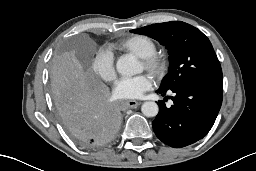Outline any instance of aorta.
Instances as JSON below:
<instances>
[{
	"label": "aorta",
	"mask_w": 256,
	"mask_h": 171,
	"mask_svg": "<svg viewBox=\"0 0 256 171\" xmlns=\"http://www.w3.org/2000/svg\"><path fill=\"white\" fill-rule=\"evenodd\" d=\"M118 73L124 76H132L141 72V66L133 56H122L116 62ZM141 111L146 117H154L158 114L159 107L153 101L144 102Z\"/></svg>",
	"instance_id": "762f6f07"
}]
</instances>
